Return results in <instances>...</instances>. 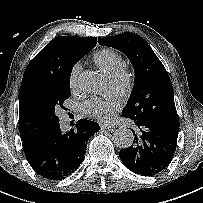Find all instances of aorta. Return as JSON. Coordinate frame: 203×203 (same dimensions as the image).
<instances>
[{
    "label": "aorta",
    "mask_w": 203,
    "mask_h": 203,
    "mask_svg": "<svg viewBox=\"0 0 203 203\" xmlns=\"http://www.w3.org/2000/svg\"><path fill=\"white\" fill-rule=\"evenodd\" d=\"M80 88L86 92L97 93L101 89V79L94 71H85L79 80ZM134 136L131 130L119 128L115 131L113 141L119 148L126 149L133 144Z\"/></svg>",
    "instance_id": "aorta-1"
}]
</instances>
